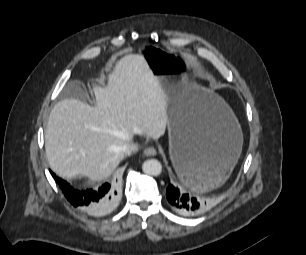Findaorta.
<instances>
[{
	"label": "aorta",
	"mask_w": 306,
	"mask_h": 255,
	"mask_svg": "<svg viewBox=\"0 0 306 255\" xmlns=\"http://www.w3.org/2000/svg\"><path fill=\"white\" fill-rule=\"evenodd\" d=\"M142 170L147 175L158 176L162 172V165L157 159H148L143 163Z\"/></svg>",
	"instance_id": "762f6f07"
}]
</instances>
